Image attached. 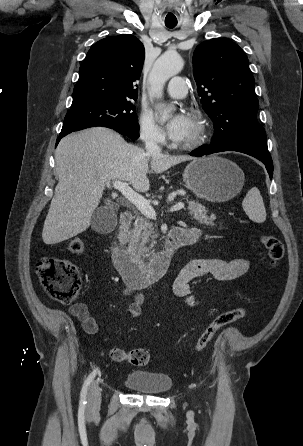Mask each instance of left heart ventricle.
Masks as SVG:
<instances>
[{
  "label": "left heart ventricle",
  "mask_w": 303,
  "mask_h": 446,
  "mask_svg": "<svg viewBox=\"0 0 303 446\" xmlns=\"http://www.w3.org/2000/svg\"><path fill=\"white\" fill-rule=\"evenodd\" d=\"M188 118H189L188 129L184 138L180 141L181 143L191 140L196 132L197 125L195 119L191 115Z\"/></svg>",
  "instance_id": "1"
}]
</instances>
